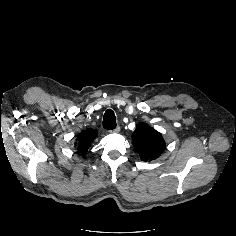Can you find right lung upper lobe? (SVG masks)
I'll return each mask as SVG.
<instances>
[{
    "mask_svg": "<svg viewBox=\"0 0 236 236\" xmlns=\"http://www.w3.org/2000/svg\"><path fill=\"white\" fill-rule=\"evenodd\" d=\"M96 136L97 132L91 129H87L86 131H83L81 134H79L77 137V140L79 141V144L77 146V154L84 155Z\"/></svg>",
    "mask_w": 236,
    "mask_h": 236,
    "instance_id": "right-lung-upper-lobe-1",
    "label": "right lung upper lobe"
}]
</instances>
